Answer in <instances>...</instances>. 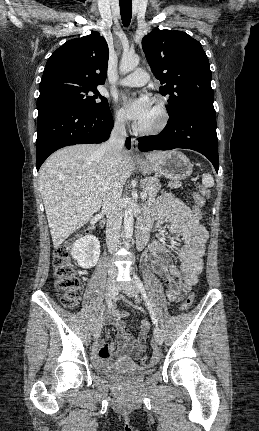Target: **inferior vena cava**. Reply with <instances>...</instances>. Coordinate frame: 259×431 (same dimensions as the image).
<instances>
[{"mask_svg": "<svg viewBox=\"0 0 259 431\" xmlns=\"http://www.w3.org/2000/svg\"><path fill=\"white\" fill-rule=\"evenodd\" d=\"M125 123V117H117L109 139L99 148V151L104 153L107 171L111 177V183L106 188L102 202L107 217L106 243L110 253H114L120 244L122 183L119 178V167L126 139Z\"/></svg>", "mask_w": 259, "mask_h": 431, "instance_id": "602c4592", "label": "inferior vena cava"}]
</instances>
